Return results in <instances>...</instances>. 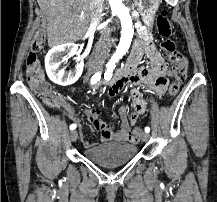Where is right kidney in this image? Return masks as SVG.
Returning <instances> with one entry per match:
<instances>
[{
  "instance_id": "ca27d5eb",
  "label": "right kidney",
  "mask_w": 217,
  "mask_h": 202,
  "mask_svg": "<svg viewBox=\"0 0 217 202\" xmlns=\"http://www.w3.org/2000/svg\"><path fill=\"white\" fill-rule=\"evenodd\" d=\"M79 54L76 44H62V46H55V48L49 50L45 58V68L50 80L57 82L60 86H70V84L77 82L80 76H82L84 68V62ZM70 56H77L76 62H79L77 68L71 70V72L59 70L60 64L65 62Z\"/></svg>"
}]
</instances>
